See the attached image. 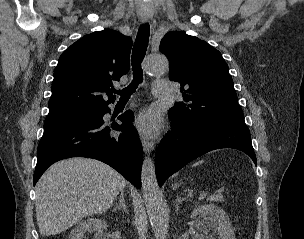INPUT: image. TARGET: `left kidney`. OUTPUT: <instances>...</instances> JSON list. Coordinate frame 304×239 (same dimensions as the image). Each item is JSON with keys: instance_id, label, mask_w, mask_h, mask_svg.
<instances>
[{"instance_id": "obj_1", "label": "left kidney", "mask_w": 304, "mask_h": 239, "mask_svg": "<svg viewBox=\"0 0 304 239\" xmlns=\"http://www.w3.org/2000/svg\"><path fill=\"white\" fill-rule=\"evenodd\" d=\"M193 217H197L193 227L198 233L207 234L211 228H215L219 239H236L228 215L218 206L200 205L192 211Z\"/></svg>"}]
</instances>
